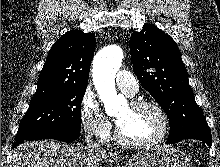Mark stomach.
Instances as JSON below:
<instances>
[{"label":"stomach","instance_id":"stomach-1","mask_svg":"<svg viewBox=\"0 0 220 167\" xmlns=\"http://www.w3.org/2000/svg\"><path fill=\"white\" fill-rule=\"evenodd\" d=\"M125 167H192L188 156L175 148H146L134 154Z\"/></svg>","mask_w":220,"mask_h":167}]
</instances>
